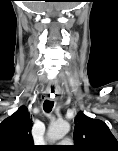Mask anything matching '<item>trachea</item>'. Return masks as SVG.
<instances>
[{
    "mask_svg": "<svg viewBox=\"0 0 118 151\" xmlns=\"http://www.w3.org/2000/svg\"><path fill=\"white\" fill-rule=\"evenodd\" d=\"M54 106V101L52 100H45L43 104V109L45 112H50Z\"/></svg>",
    "mask_w": 118,
    "mask_h": 151,
    "instance_id": "3493384b",
    "label": "trachea"
}]
</instances>
